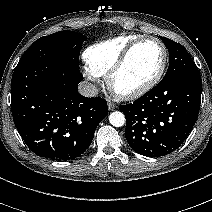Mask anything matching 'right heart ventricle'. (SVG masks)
Returning a JSON list of instances; mask_svg holds the SVG:
<instances>
[{
  "mask_svg": "<svg viewBox=\"0 0 212 212\" xmlns=\"http://www.w3.org/2000/svg\"><path fill=\"white\" fill-rule=\"evenodd\" d=\"M140 36L121 35L89 46L84 51L88 66L101 76L108 74L125 48Z\"/></svg>",
  "mask_w": 212,
  "mask_h": 212,
  "instance_id": "e07e8e85",
  "label": "right heart ventricle"
}]
</instances>
